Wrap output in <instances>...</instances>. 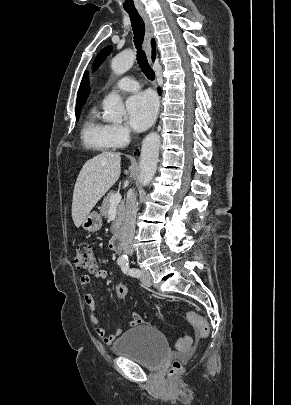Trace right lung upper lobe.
<instances>
[{
    "instance_id": "obj_1",
    "label": "right lung upper lobe",
    "mask_w": 291,
    "mask_h": 405,
    "mask_svg": "<svg viewBox=\"0 0 291 405\" xmlns=\"http://www.w3.org/2000/svg\"><path fill=\"white\" fill-rule=\"evenodd\" d=\"M152 58L155 59V42L152 40ZM88 72L86 71L83 75L78 93H77V101H76V109L81 108L88 97L89 94V87H88Z\"/></svg>"
}]
</instances>
